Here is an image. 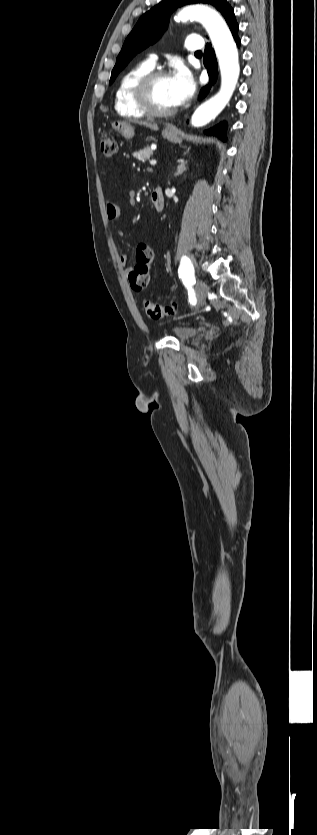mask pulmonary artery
<instances>
[{"instance_id": "pulmonary-artery-1", "label": "pulmonary artery", "mask_w": 317, "mask_h": 835, "mask_svg": "<svg viewBox=\"0 0 317 835\" xmlns=\"http://www.w3.org/2000/svg\"><path fill=\"white\" fill-rule=\"evenodd\" d=\"M185 48L191 52L200 51L203 48V42L200 36L198 35H190L187 37L185 42ZM156 62V57L152 55L148 60V63L154 67Z\"/></svg>"}]
</instances>
